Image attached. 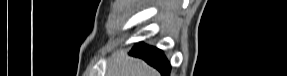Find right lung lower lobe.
<instances>
[{
	"mask_svg": "<svg viewBox=\"0 0 287 76\" xmlns=\"http://www.w3.org/2000/svg\"><path fill=\"white\" fill-rule=\"evenodd\" d=\"M130 55L145 60L148 64L160 71L162 76H168L170 63L167 61L163 52L155 47L143 43L136 44L130 51Z\"/></svg>",
	"mask_w": 287,
	"mask_h": 76,
	"instance_id": "right-lung-lower-lobe-1",
	"label": "right lung lower lobe"
}]
</instances>
